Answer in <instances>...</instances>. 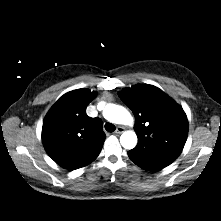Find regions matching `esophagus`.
I'll use <instances>...</instances> for the list:
<instances>
[{"instance_id":"esophagus-1","label":"esophagus","mask_w":221,"mask_h":221,"mask_svg":"<svg viewBox=\"0 0 221 221\" xmlns=\"http://www.w3.org/2000/svg\"><path fill=\"white\" fill-rule=\"evenodd\" d=\"M124 130H125V128L123 126H118L115 131V134H121L124 132Z\"/></svg>"}]
</instances>
